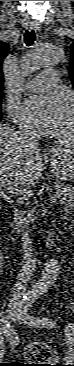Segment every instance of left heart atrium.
<instances>
[{
	"mask_svg": "<svg viewBox=\"0 0 74 366\" xmlns=\"http://www.w3.org/2000/svg\"><path fill=\"white\" fill-rule=\"evenodd\" d=\"M63 110L61 98L56 95L33 98L23 108V118L27 124L50 132L56 126Z\"/></svg>",
	"mask_w": 74,
	"mask_h": 366,
	"instance_id": "left-heart-atrium-1",
	"label": "left heart atrium"
}]
</instances>
